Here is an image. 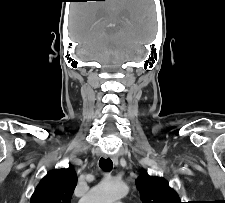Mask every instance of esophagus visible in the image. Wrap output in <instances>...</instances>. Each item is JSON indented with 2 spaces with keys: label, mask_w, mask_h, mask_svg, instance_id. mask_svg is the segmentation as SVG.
I'll list each match as a JSON object with an SVG mask.
<instances>
[{
  "label": "esophagus",
  "mask_w": 225,
  "mask_h": 203,
  "mask_svg": "<svg viewBox=\"0 0 225 203\" xmlns=\"http://www.w3.org/2000/svg\"><path fill=\"white\" fill-rule=\"evenodd\" d=\"M104 157H105V158L110 157L111 160L113 161V163H114L115 165L118 164V156H117V155H106V154H105Z\"/></svg>",
  "instance_id": "1"
}]
</instances>
